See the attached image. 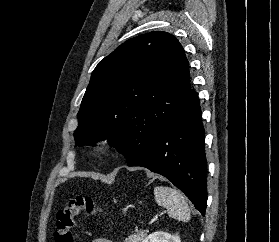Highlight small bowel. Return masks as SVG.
Here are the masks:
<instances>
[{"label": "small bowel", "instance_id": "obj_1", "mask_svg": "<svg viewBox=\"0 0 279 242\" xmlns=\"http://www.w3.org/2000/svg\"><path fill=\"white\" fill-rule=\"evenodd\" d=\"M92 242H112V241L104 239V238H97V239H94Z\"/></svg>", "mask_w": 279, "mask_h": 242}]
</instances>
